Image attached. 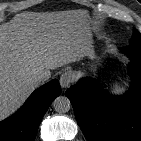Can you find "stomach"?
I'll use <instances>...</instances> for the list:
<instances>
[{
    "label": "stomach",
    "mask_w": 141,
    "mask_h": 141,
    "mask_svg": "<svg viewBox=\"0 0 141 141\" xmlns=\"http://www.w3.org/2000/svg\"><path fill=\"white\" fill-rule=\"evenodd\" d=\"M86 57L92 61V63L90 64V69L95 70L96 65L95 63H93L95 59V52H94V49H93V46L90 40H89L88 48L86 50Z\"/></svg>",
    "instance_id": "1"
}]
</instances>
